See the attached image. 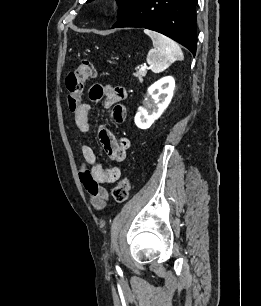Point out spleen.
<instances>
[{
	"instance_id": "spleen-1",
	"label": "spleen",
	"mask_w": 261,
	"mask_h": 306,
	"mask_svg": "<svg viewBox=\"0 0 261 306\" xmlns=\"http://www.w3.org/2000/svg\"><path fill=\"white\" fill-rule=\"evenodd\" d=\"M144 33L152 39L154 46L147 55L152 72L160 73L175 61L184 59L179 45L169 37L149 29H145Z\"/></svg>"
}]
</instances>
